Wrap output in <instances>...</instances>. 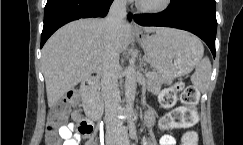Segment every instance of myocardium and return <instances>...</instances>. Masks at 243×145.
Returning <instances> with one entry per match:
<instances>
[{"label": "myocardium", "instance_id": "f54148a6", "mask_svg": "<svg viewBox=\"0 0 243 145\" xmlns=\"http://www.w3.org/2000/svg\"><path fill=\"white\" fill-rule=\"evenodd\" d=\"M171 4H172V0H163L159 5L156 6L144 5L139 0H137L136 2V6L140 11L144 13H150V14L162 13L168 10Z\"/></svg>", "mask_w": 243, "mask_h": 145}]
</instances>
